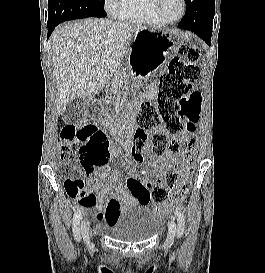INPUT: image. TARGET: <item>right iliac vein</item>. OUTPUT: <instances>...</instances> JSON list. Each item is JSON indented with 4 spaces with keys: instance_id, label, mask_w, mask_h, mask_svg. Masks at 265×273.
Instances as JSON below:
<instances>
[{
    "instance_id": "right-iliac-vein-1",
    "label": "right iliac vein",
    "mask_w": 265,
    "mask_h": 273,
    "mask_svg": "<svg viewBox=\"0 0 265 273\" xmlns=\"http://www.w3.org/2000/svg\"><path fill=\"white\" fill-rule=\"evenodd\" d=\"M81 232H82L84 241L87 244H89L90 243L89 229H88L87 222L85 220L81 224Z\"/></svg>"
}]
</instances>
